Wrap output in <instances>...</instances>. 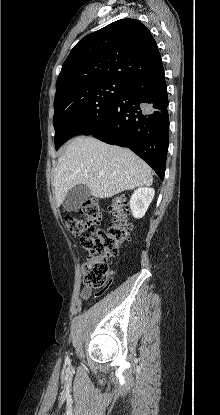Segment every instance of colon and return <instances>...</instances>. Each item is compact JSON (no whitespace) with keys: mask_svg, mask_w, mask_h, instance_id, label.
<instances>
[{"mask_svg":"<svg viewBox=\"0 0 220 415\" xmlns=\"http://www.w3.org/2000/svg\"><path fill=\"white\" fill-rule=\"evenodd\" d=\"M110 212L113 221L105 230L98 228L103 208L96 199L86 200L79 209V215H66V228L73 235H82L81 244L88 252L83 266V282L87 286L104 288L111 276L108 259L115 257L120 247L130 240L134 230L128 218V204L122 197L112 199Z\"/></svg>","mask_w":220,"mask_h":415,"instance_id":"1","label":"colon"}]
</instances>
